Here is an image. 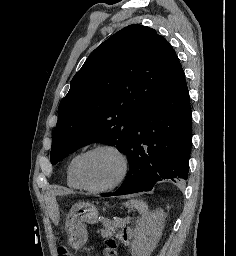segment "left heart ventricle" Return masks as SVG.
Here are the masks:
<instances>
[{
	"label": "left heart ventricle",
	"instance_id": "obj_1",
	"mask_svg": "<svg viewBox=\"0 0 236 256\" xmlns=\"http://www.w3.org/2000/svg\"><path fill=\"white\" fill-rule=\"evenodd\" d=\"M121 171L120 159L112 151L103 150L86 157L82 174L90 187H103L114 182Z\"/></svg>",
	"mask_w": 236,
	"mask_h": 256
}]
</instances>
